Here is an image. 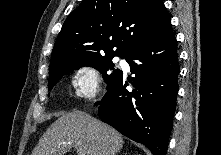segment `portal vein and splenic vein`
<instances>
[{
    "label": "portal vein and splenic vein",
    "instance_id": "1",
    "mask_svg": "<svg viewBox=\"0 0 221 155\" xmlns=\"http://www.w3.org/2000/svg\"><path fill=\"white\" fill-rule=\"evenodd\" d=\"M78 151V155H85L84 152H82L81 150H77Z\"/></svg>",
    "mask_w": 221,
    "mask_h": 155
}]
</instances>
